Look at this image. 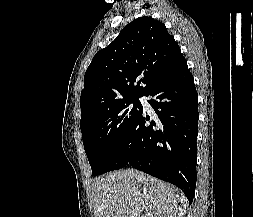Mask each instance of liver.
Masks as SVG:
<instances>
[{"instance_id":"1","label":"liver","mask_w":253,"mask_h":217,"mask_svg":"<svg viewBox=\"0 0 253 217\" xmlns=\"http://www.w3.org/2000/svg\"><path fill=\"white\" fill-rule=\"evenodd\" d=\"M186 197L175 186L134 169L93 181L94 217H183Z\"/></svg>"}]
</instances>
